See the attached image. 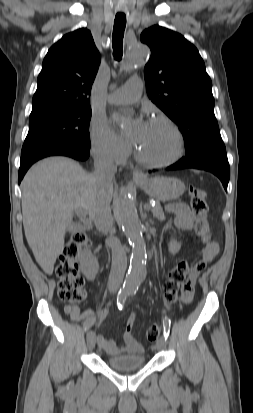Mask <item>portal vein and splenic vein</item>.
<instances>
[{
  "instance_id": "18ae733b",
  "label": "portal vein and splenic vein",
  "mask_w": 253,
  "mask_h": 413,
  "mask_svg": "<svg viewBox=\"0 0 253 413\" xmlns=\"http://www.w3.org/2000/svg\"><path fill=\"white\" fill-rule=\"evenodd\" d=\"M144 208L151 209V207L148 204H145ZM77 214L81 217H84L86 215V212L82 209H79V210H77Z\"/></svg>"
}]
</instances>
